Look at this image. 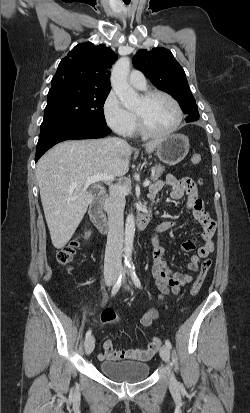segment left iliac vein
I'll use <instances>...</instances> for the list:
<instances>
[{
	"mask_svg": "<svg viewBox=\"0 0 250 413\" xmlns=\"http://www.w3.org/2000/svg\"><path fill=\"white\" fill-rule=\"evenodd\" d=\"M160 357L165 361V362H169V360H170V351H169V349H168V347L167 346H163L161 349H160ZM174 382V377H173V375L171 376V383H173Z\"/></svg>",
	"mask_w": 250,
	"mask_h": 413,
	"instance_id": "obj_1",
	"label": "left iliac vein"
}]
</instances>
